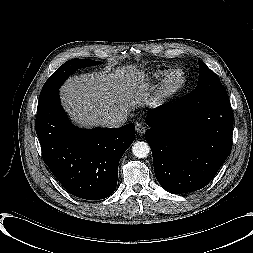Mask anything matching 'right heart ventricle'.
Segmentation results:
<instances>
[{"instance_id":"e07e8e85","label":"right heart ventricle","mask_w":253,"mask_h":253,"mask_svg":"<svg viewBox=\"0 0 253 253\" xmlns=\"http://www.w3.org/2000/svg\"><path fill=\"white\" fill-rule=\"evenodd\" d=\"M159 76H160V73L159 72H156L155 74H154V77L157 79V78H159Z\"/></svg>"}]
</instances>
